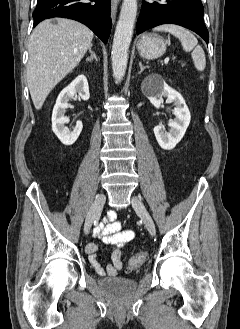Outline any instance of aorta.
Here are the masks:
<instances>
[{
    "mask_svg": "<svg viewBox=\"0 0 240 329\" xmlns=\"http://www.w3.org/2000/svg\"><path fill=\"white\" fill-rule=\"evenodd\" d=\"M137 15V0H123L111 52L113 76L120 81L125 75L128 51Z\"/></svg>",
    "mask_w": 240,
    "mask_h": 329,
    "instance_id": "762f6f07",
    "label": "aorta"
}]
</instances>
